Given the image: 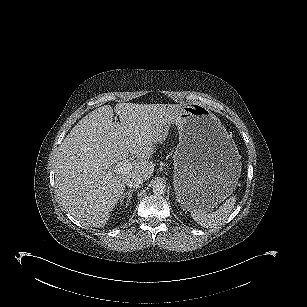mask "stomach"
Masks as SVG:
<instances>
[{
    "label": "stomach",
    "instance_id": "0dacf381",
    "mask_svg": "<svg viewBox=\"0 0 307 307\" xmlns=\"http://www.w3.org/2000/svg\"><path fill=\"white\" fill-rule=\"evenodd\" d=\"M179 144L173 186L181 206L213 208L232 194L241 173L238 149L221 121L198 103L182 105L174 119ZM161 126L159 137L166 134Z\"/></svg>",
    "mask_w": 307,
    "mask_h": 307
}]
</instances>
